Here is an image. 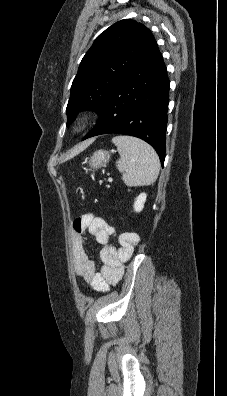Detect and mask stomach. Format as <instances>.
<instances>
[{
  "mask_svg": "<svg viewBox=\"0 0 227 396\" xmlns=\"http://www.w3.org/2000/svg\"><path fill=\"white\" fill-rule=\"evenodd\" d=\"M110 159V154L104 150H98L89 160V165L93 169H98L106 165Z\"/></svg>",
  "mask_w": 227,
  "mask_h": 396,
  "instance_id": "0dacf381",
  "label": "stomach"
}]
</instances>
